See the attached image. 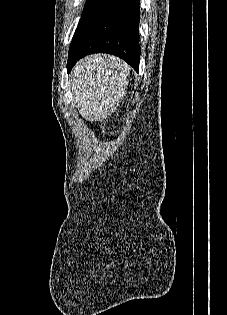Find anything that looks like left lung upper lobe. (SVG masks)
I'll use <instances>...</instances> for the list:
<instances>
[{"label":"left lung upper lobe","instance_id":"5c2ea615","mask_svg":"<svg viewBox=\"0 0 227 315\" xmlns=\"http://www.w3.org/2000/svg\"><path fill=\"white\" fill-rule=\"evenodd\" d=\"M97 0H87L83 13H82V17L89 11V9L96 3Z\"/></svg>","mask_w":227,"mask_h":315}]
</instances>
